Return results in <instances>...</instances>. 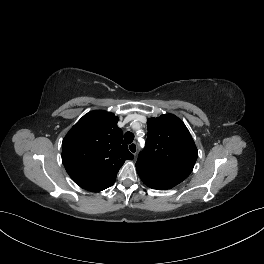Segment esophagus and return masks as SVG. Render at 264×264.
<instances>
[{"instance_id": "34e87169", "label": "esophagus", "mask_w": 264, "mask_h": 264, "mask_svg": "<svg viewBox=\"0 0 264 264\" xmlns=\"http://www.w3.org/2000/svg\"><path fill=\"white\" fill-rule=\"evenodd\" d=\"M128 150L133 154L136 155L137 152V144L135 142H132L128 145Z\"/></svg>"}]
</instances>
